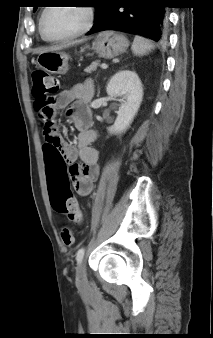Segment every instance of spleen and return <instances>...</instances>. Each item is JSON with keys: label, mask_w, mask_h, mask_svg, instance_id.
<instances>
[{"label": "spleen", "mask_w": 213, "mask_h": 338, "mask_svg": "<svg viewBox=\"0 0 213 338\" xmlns=\"http://www.w3.org/2000/svg\"><path fill=\"white\" fill-rule=\"evenodd\" d=\"M131 49L134 55L143 56L151 52L154 45L143 37L135 36Z\"/></svg>", "instance_id": "obj_1"}]
</instances>
